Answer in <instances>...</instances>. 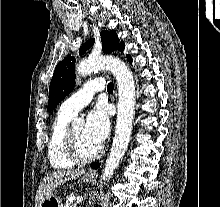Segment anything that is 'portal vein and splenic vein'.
Here are the masks:
<instances>
[{
    "label": "portal vein and splenic vein",
    "instance_id": "1",
    "mask_svg": "<svg viewBox=\"0 0 220 207\" xmlns=\"http://www.w3.org/2000/svg\"><path fill=\"white\" fill-rule=\"evenodd\" d=\"M83 198L81 196L77 197V203H81Z\"/></svg>",
    "mask_w": 220,
    "mask_h": 207
}]
</instances>
